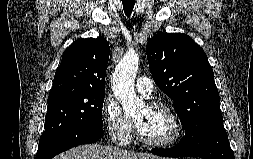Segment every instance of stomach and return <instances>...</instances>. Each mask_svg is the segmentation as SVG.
<instances>
[{"instance_id": "obj_1", "label": "stomach", "mask_w": 253, "mask_h": 159, "mask_svg": "<svg viewBox=\"0 0 253 159\" xmlns=\"http://www.w3.org/2000/svg\"><path fill=\"white\" fill-rule=\"evenodd\" d=\"M148 159H163V158H159V157H151V158H148ZM165 159H168V158H165Z\"/></svg>"}]
</instances>
